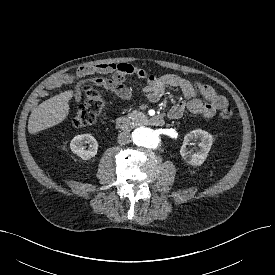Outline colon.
Listing matches in <instances>:
<instances>
[{"mask_svg": "<svg viewBox=\"0 0 275 275\" xmlns=\"http://www.w3.org/2000/svg\"><path fill=\"white\" fill-rule=\"evenodd\" d=\"M117 68L122 70L123 65L118 64ZM81 87L85 93V100L72 119V125L76 128L93 124L106 107L105 99L102 92L98 89L96 81L83 82ZM219 117L223 121H229L233 117L232 109L229 107L222 108L219 112Z\"/></svg>", "mask_w": 275, "mask_h": 275, "instance_id": "5ec220e1", "label": "colon"}]
</instances>
